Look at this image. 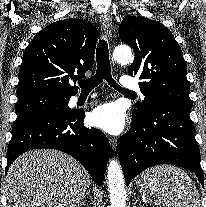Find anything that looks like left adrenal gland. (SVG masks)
I'll use <instances>...</instances> for the list:
<instances>
[{"instance_id":"obj_1","label":"left adrenal gland","mask_w":206,"mask_h":207,"mask_svg":"<svg viewBox=\"0 0 206 207\" xmlns=\"http://www.w3.org/2000/svg\"><path fill=\"white\" fill-rule=\"evenodd\" d=\"M138 200V197H135V205L137 204Z\"/></svg>"}]
</instances>
